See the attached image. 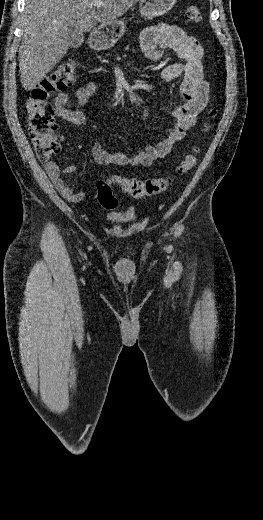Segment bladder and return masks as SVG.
Here are the masks:
<instances>
[{
    "mask_svg": "<svg viewBox=\"0 0 263 520\" xmlns=\"http://www.w3.org/2000/svg\"><path fill=\"white\" fill-rule=\"evenodd\" d=\"M135 220V216L133 214L127 215H113L107 218V222L111 224H120V223H128Z\"/></svg>",
    "mask_w": 263,
    "mask_h": 520,
    "instance_id": "31cf9c89",
    "label": "bladder"
}]
</instances>
